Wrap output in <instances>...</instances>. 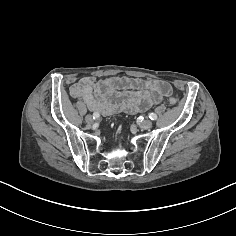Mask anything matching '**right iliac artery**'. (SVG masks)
Here are the masks:
<instances>
[{"label": "right iliac artery", "instance_id": "82829eb1", "mask_svg": "<svg viewBox=\"0 0 236 236\" xmlns=\"http://www.w3.org/2000/svg\"><path fill=\"white\" fill-rule=\"evenodd\" d=\"M99 116H100V115H99L98 113H96V112H95V113H93V119H98V118H99Z\"/></svg>", "mask_w": 236, "mask_h": 236}]
</instances>
